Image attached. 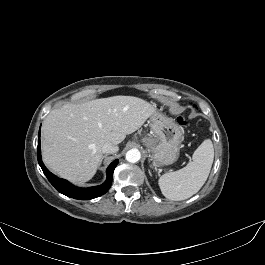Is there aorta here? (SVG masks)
I'll return each mask as SVG.
<instances>
[{
  "label": "aorta",
  "instance_id": "aorta-1",
  "mask_svg": "<svg viewBox=\"0 0 265 265\" xmlns=\"http://www.w3.org/2000/svg\"><path fill=\"white\" fill-rule=\"evenodd\" d=\"M140 158H141V153L137 149L129 150L126 153V160L130 163H136L140 160Z\"/></svg>",
  "mask_w": 265,
  "mask_h": 265
}]
</instances>
